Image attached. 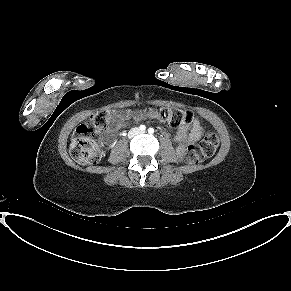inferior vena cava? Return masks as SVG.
I'll list each match as a JSON object with an SVG mask.
<instances>
[{
  "label": "inferior vena cava",
  "instance_id": "1",
  "mask_svg": "<svg viewBox=\"0 0 291 291\" xmlns=\"http://www.w3.org/2000/svg\"><path fill=\"white\" fill-rule=\"evenodd\" d=\"M139 133H140V130L137 127L132 128L129 132V137L132 138L135 135H138Z\"/></svg>",
  "mask_w": 291,
  "mask_h": 291
}]
</instances>
